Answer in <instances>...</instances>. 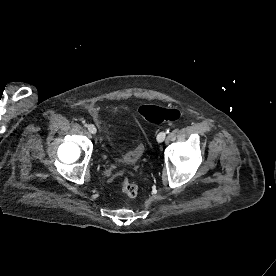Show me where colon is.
Wrapping results in <instances>:
<instances>
[{
  "label": "colon",
  "mask_w": 276,
  "mask_h": 276,
  "mask_svg": "<svg viewBox=\"0 0 276 276\" xmlns=\"http://www.w3.org/2000/svg\"><path fill=\"white\" fill-rule=\"evenodd\" d=\"M139 115L148 123L159 124L177 120L181 112L175 107H162L157 105H142L138 108ZM120 189L128 198L138 195V187L135 183L124 178L120 180Z\"/></svg>",
  "instance_id": "colon-1"
}]
</instances>
